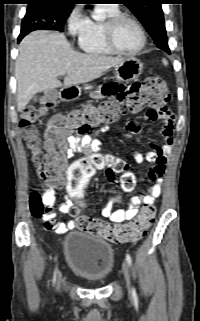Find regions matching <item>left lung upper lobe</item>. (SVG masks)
<instances>
[{
    "instance_id": "5c2ea615",
    "label": "left lung upper lobe",
    "mask_w": 200,
    "mask_h": 321,
    "mask_svg": "<svg viewBox=\"0 0 200 321\" xmlns=\"http://www.w3.org/2000/svg\"><path fill=\"white\" fill-rule=\"evenodd\" d=\"M143 24L155 44L167 51L168 40L161 4L163 0H121Z\"/></svg>"
}]
</instances>
